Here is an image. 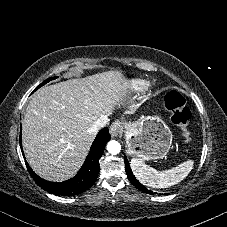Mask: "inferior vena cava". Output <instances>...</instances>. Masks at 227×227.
<instances>
[{
	"mask_svg": "<svg viewBox=\"0 0 227 227\" xmlns=\"http://www.w3.org/2000/svg\"><path fill=\"white\" fill-rule=\"evenodd\" d=\"M108 121H109L108 117L106 115H102L95 121V123L92 126V129L94 131H98L101 128H103L104 126H106Z\"/></svg>",
	"mask_w": 227,
	"mask_h": 227,
	"instance_id": "1",
	"label": "inferior vena cava"
}]
</instances>
